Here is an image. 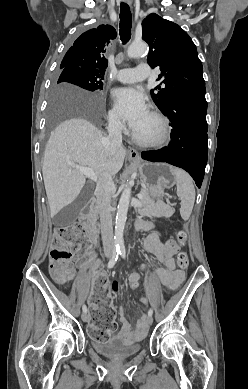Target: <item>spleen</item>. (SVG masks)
Segmentation results:
<instances>
[{
	"label": "spleen",
	"instance_id": "1",
	"mask_svg": "<svg viewBox=\"0 0 248 389\" xmlns=\"http://www.w3.org/2000/svg\"><path fill=\"white\" fill-rule=\"evenodd\" d=\"M176 180L177 195L181 200L180 214L182 219L188 220L195 202V188L188 173L179 168H173Z\"/></svg>",
	"mask_w": 248,
	"mask_h": 389
}]
</instances>
